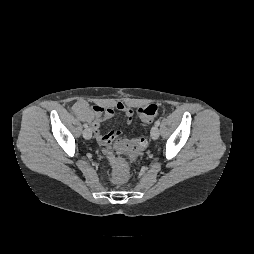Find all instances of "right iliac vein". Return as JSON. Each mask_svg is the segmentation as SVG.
Returning <instances> with one entry per match:
<instances>
[{
  "label": "right iliac vein",
  "instance_id": "1",
  "mask_svg": "<svg viewBox=\"0 0 254 254\" xmlns=\"http://www.w3.org/2000/svg\"><path fill=\"white\" fill-rule=\"evenodd\" d=\"M83 137L85 139H90L92 137V131H91L90 128L84 129V131H83Z\"/></svg>",
  "mask_w": 254,
  "mask_h": 254
}]
</instances>
